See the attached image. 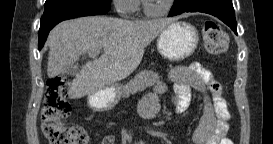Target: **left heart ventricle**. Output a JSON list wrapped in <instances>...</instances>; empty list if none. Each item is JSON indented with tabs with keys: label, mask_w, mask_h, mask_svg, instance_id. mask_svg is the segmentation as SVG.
Instances as JSON below:
<instances>
[{
	"label": "left heart ventricle",
	"mask_w": 273,
	"mask_h": 144,
	"mask_svg": "<svg viewBox=\"0 0 273 144\" xmlns=\"http://www.w3.org/2000/svg\"><path fill=\"white\" fill-rule=\"evenodd\" d=\"M168 0H145L149 8L153 10H159L162 8Z\"/></svg>",
	"instance_id": "b2bd125f"
}]
</instances>
